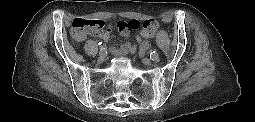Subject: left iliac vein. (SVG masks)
<instances>
[{"label":"left iliac vein","instance_id":"4c4485c4","mask_svg":"<svg viewBox=\"0 0 255 122\" xmlns=\"http://www.w3.org/2000/svg\"><path fill=\"white\" fill-rule=\"evenodd\" d=\"M143 63L145 64V65H151L152 64V61L150 60V59H148V58H144L143 59Z\"/></svg>","mask_w":255,"mask_h":122}]
</instances>
